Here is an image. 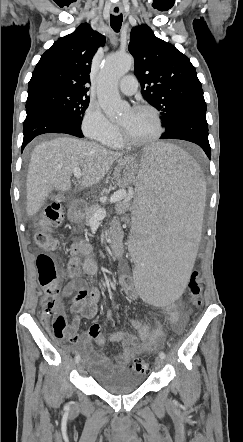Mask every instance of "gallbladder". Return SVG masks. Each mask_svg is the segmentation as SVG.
<instances>
[{"label":"gallbladder","instance_id":"1","mask_svg":"<svg viewBox=\"0 0 243 442\" xmlns=\"http://www.w3.org/2000/svg\"><path fill=\"white\" fill-rule=\"evenodd\" d=\"M67 196L64 193H50L47 196V200L48 199H55L57 201H64L66 200Z\"/></svg>","mask_w":243,"mask_h":442}]
</instances>
